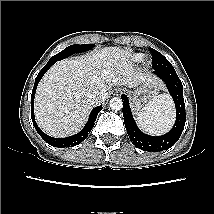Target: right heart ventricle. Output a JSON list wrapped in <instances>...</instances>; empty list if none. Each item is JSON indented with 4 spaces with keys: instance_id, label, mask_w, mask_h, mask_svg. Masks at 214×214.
<instances>
[{
    "instance_id": "obj_1",
    "label": "right heart ventricle",
    "mask_w": 214,
    "mask_h": 214,
    "mask_svg": "<svg viewBox=\"0 0 214 214\" xmlns=\"http://www.w3.org/2000/svg\"><path fill=\"white\" fill-rule=\"evenodd\" d=\"M143 60V55L142 54H134L132 55L131 57V61L134 62V63H137V62H140Z\"/></svg>"
}]
</instances>
